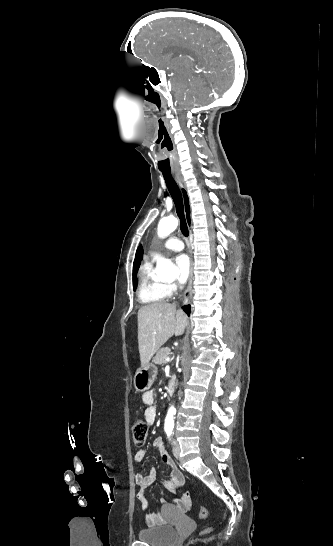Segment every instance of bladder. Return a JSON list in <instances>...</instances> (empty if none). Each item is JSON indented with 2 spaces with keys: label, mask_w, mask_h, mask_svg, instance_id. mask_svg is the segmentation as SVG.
<instances>
[{
  "label": "bladder",
  "mask_w": 333,
  "mask_h": 546,
  "mask_svg": "<svg viewBox=\"0 0 333 546\" xmlns=\"http://www.w3.org/2000/svg\"><path fill=\"white\" fill-rule=\"evenodd\" d=\"M178 536L177 529L169 525L145 528L138 533V539L150 546H172Z\"/></svg>",
  "instance_id": "31cf9c89"
}]
</instances>
